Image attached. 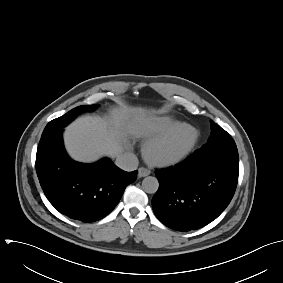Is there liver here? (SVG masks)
<instances>
[{
	"instance_id": "liver-1",
	"label": "liver",
	"mask_w": 283,
	"mask_h": 283,
	"mask_svg": "<svg viewBox=\"0 0 283 283\" xmlns=\"http://www.w3.org/2000/svg\"><path fill=\"white\" fill-rule=\"evenodd\" d=\"M149 121L141 107L116 109L107 118L83 116L67 126L65 147L80 162H92L102 155L114 158L124 151L128 135H139Z\"/></svg>"
}]
</instances>
